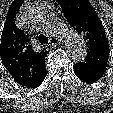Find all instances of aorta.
Segmentation results:
<instances>
[{"instance_id": "obj_1", "label": "aorta", "mask_w": 113, "mask_h": 113, "mask_svg": "<svg viewBox=\"0 0 113 113\" xmlns=\"http://www.w3.org/2000/svg\"><path fill=\"white\" fill-rule=\"evenodd\" d=\"M41 20L44 22L50 33L58 35L63 39L66 52L70 55L73 61H84L87 55V47L77 32L65 23L61 22L51 13H42Z\"/></svg>"}]
</instances>
